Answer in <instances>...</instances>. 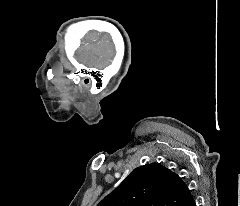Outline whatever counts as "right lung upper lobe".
<instances>
[{
    "label": "right lung upper lobe",
    "mask_w": 240,
    "mask_h": 206,
    "mask_svg": "<svg viewBox=\"0 0 240 206\" xmlns=\"http://www.w3.org/2000/svg\"><path fill=\"white\" fill-rule=\"evenodd\" d=\"M192 199L177 174L153 163L133 170L97 206H185Z\"/></svg>",
    "instance_id": "obj_1"
}]
</instances>
